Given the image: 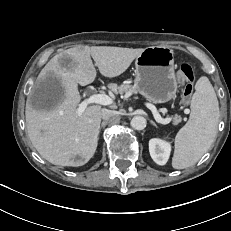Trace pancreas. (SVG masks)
<instances>
[{
  "instance_id": "obj_1",
  "label": "pancreas",
  "mask_w": 231,
  "mask_h": 231,
  "mask_svg": "<svg viewBox=\"0 0 231 231\" xmlns=\"http://www.w3.org/2000/svg\"><path fill=\"white\" fill-rule=\"evenodd\" d=\"M115 90L120 94H124V93L136 94L137 93L136 88L132 85L127 84V83L122 84L120 86H116ZM175 118H177V117H175Z\"/></svg>"
}]
</instances>
